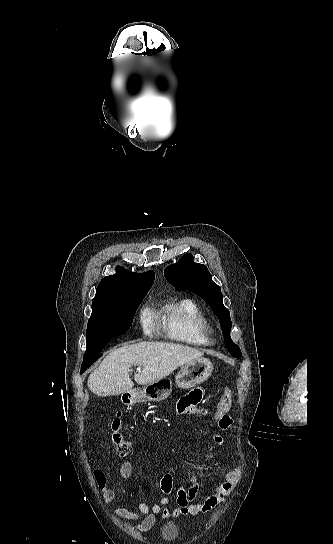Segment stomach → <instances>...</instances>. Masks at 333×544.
<instances>
[{
    "label": "stomach",
    "mask_w": 333,
    "mask_h": 544,
    "mask_svg": "<svg viewBox=\"0 0 333 544\" xmlns=\"http://www.w3.org/2000/svg\"><path fill=\"white\" fill-rule=\"evenodd\" d=\"M213 365L206 358H199L183 365L177 373L175 382L179 388L189 389L204 382L212 374ZM172 392V382L162 378L145 385L142 388L132 389L127 394L128 405L147 401H163Z\"/></svg>",
    "instance_id": "1"
}]
</instances>
